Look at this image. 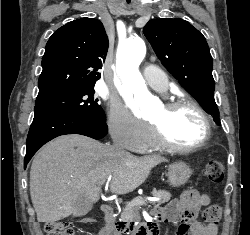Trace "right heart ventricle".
Here are the masks:
<instances>
[{"mask_svg":"<svg viewBox=\"0 0 250 235\" xmlns=\"http://www.w3.org/2000/svg\"><path fill=\"white\" fill-rule=\"evenodd\" d=\"M161 147L158 145V143L155 140V137L153 136V133L151 132V136L147 144L144 146L142 151L144 152H151L160 149Z\"/></svg>","mask_w":250,"mask_h":235,"instance_id":"obj_1","label":"right heart ventricle"}]
</instances>
